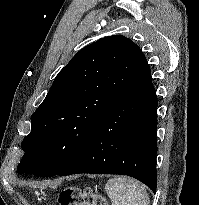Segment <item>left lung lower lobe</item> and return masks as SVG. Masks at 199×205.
Instances as JSON below:
<instances>
[{
  "instance_id": "1",
  "label": "left lung lower lobe",
  "mask_w": 199,
  "mask_h": 205,
  "mask_svg": "<svg viewBox=\"0 0 199 205\" xmlns=\"http://www.w3.org/2000/svg\"><path fill=\"white\" fill-rule=\"evenodd\" d=\"M157 96L142 55L129 90L100 121L78 157L58 175L123 174L156 192Z\"/></svg>"
}]
</instances>
